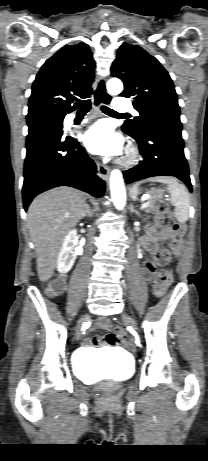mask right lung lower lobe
<instances>
[{
	"label": "right lung lower lobe",
	"instance_id": "right-lung-lower-lobe-1",
	"mask_svg": "<svg viewBox=\"0 0 208 461\" xmlns=\"http://www.w3.org/2000/svg\"><path fill=\"white\" fill-rule=\"evenodd\" d=\"M23 205L54 187L70 186L101 197L105 182L97 176V167L84 148L71 136L63 135V125L43 127L26 139Z\"/></svg>",
	"mask_w": 208,
	"mask_h": 461
}]
</instances>
